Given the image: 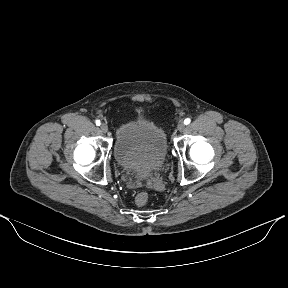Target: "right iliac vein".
<instances>
[{"label":"right iliac vein","mask_w":288,"mask_h":288,"mask_svg":"<svg viewBox=\"0 0 288 288\" xmlns=\"http://www.w3.org/2000/svg\"><path fill=\"white\" fill-rule=\"evenodd\" d=\"M100 130H101L103 133H106V132L108 131V126H107V124L102 123L101 126H100Z\"/></svg>","instance_id":"right-iliac-vein-1"}]
</instances>
